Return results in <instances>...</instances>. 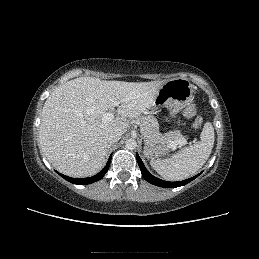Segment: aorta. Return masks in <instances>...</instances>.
Masks as SVG:
<instances>
[{
	"mask_svg": "<svg viewBox=\"0 0 259 259\" xmlns=\"http://www.w3.org/2000/svg\"><path fill=\"white\" fill-rule=\"evenodd\" d=\"M125 147L128 149V150H134L136 147H137V143L134 139H128L126 142H125Z\"/></svg>",
	"mask_w": 259,
	"mask_h": 259,
	"instance_id": "obj_1",
	"label": "aorta"
}]
</instances>
